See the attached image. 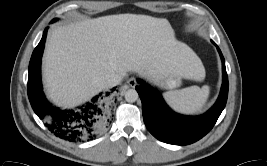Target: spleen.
Segmentation results:
<instances>
[{"instance_id": "obj_1", "label": "spleen", "mask_w": 267, "mask_h": 166, "mask_svg": "<svg viewBox=\"0 0 267 166\" xmlns=\"http://www.w3.org/2000/svg\"><path fill=\"white\" fill-rule=\"evenodd\" d=\"M210 93V87L192 86L165 94L169 104L177 111L187 114L197 113L204 107Z\"/></svg>"}]
</instances>
